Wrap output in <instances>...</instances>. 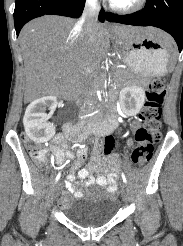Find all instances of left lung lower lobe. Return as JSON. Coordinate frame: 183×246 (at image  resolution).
I'll list each match as a JSON object with an SVG mask.
<instances>
[{"mask_svg": "<svg viewBox=\"0 0 183 246\" xmlns=\"http://www.w3.org/2000/svg\"><path fill=\"white\" fill-rule=\"evenodd\" d=\"M106 18L110 22L161 28L173 36L179 52L183 48V0H147L140 12L128 15L107 13Z\"/></svg>", "mask_w": 183, "mask_h": 246, "instance_id": "left-lung-lower-lobe-1", "label": "left lung lower lobe"}]
</instances>
